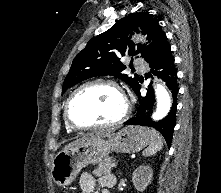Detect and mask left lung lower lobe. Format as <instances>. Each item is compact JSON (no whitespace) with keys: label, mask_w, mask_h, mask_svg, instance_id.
<instances>
[{"label":"left lung lower lobe","mask_w":221,"mask_h":193,"mask_svg":"<svg viewBox=\"0 0 221 193\" xmlns=\"http://www.w3.org/2000/svg\"><path fill=\"white\" fill-rule=\"evenodd\" d=\"M146 62L149 63L151 67V71L147 74V76H152L151 73L159 76L170 89L173 97L171 110L162 120L153 121L150 118L154 104V93L151 85H149V90L145 97L140 95V85H138L134 92L138 96L139 108L137 114L133 118L127 120L125 124L152 127L164 136L168 146H170L176 124L177 94L179 88L177 83V71L174 65V57L172 56L168 41H165Z\"/></svg>","instance_id":"obj_1"}]
</instances>
